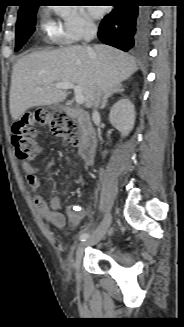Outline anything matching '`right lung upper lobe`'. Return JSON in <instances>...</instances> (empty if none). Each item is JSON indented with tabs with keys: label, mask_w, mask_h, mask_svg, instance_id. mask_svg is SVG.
I'll return each instance as SVG.
<instances>
[{
	"label": "right lung upper lobe",
	"mask_w": 184,
	"mask_h": 327,
	"mask_svg": "<svg viewBox=\"0 0 184 327\" xmlns=\"http://www.w3.org/2000/svg\"><path fill=\"white\" fill-rule=\"evenodd\" d=\"M35 0H22L21 3H23L19 9V11H23V10H26V9H29L31 7H35L34 3Z\"/></svg>",
	"instance_id": "right-lung-upper-lobe-1"
}]
</instances>
